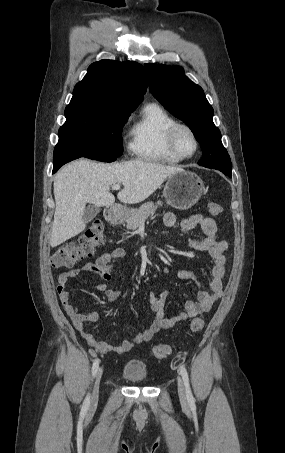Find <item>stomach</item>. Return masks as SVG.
Listing matches in <instances>:
<instances>
[{"instance_id":"0dacf381","label":"stomach","mask_w":285,"mask_h":453,"mask_svg":"<svg viewBox=\"0 0 285 453\" xmlns=\"http://www.w3.org/2000/svg\"><path fill=\"white\" fill-rule=\"evenodd\" d=\"M204 191V183L197 174L182 170L167 178L163 196L172 207L185 210L196 204ZM125 218L126 215L118 213L112 216L115 223H122Z\"/></svg>"}]
</instances>
